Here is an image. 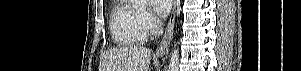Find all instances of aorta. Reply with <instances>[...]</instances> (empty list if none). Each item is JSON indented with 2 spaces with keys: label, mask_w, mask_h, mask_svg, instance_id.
<instances>
[{
  "label": "aorta",
  "mask_w": 301,
  "mask_h": 71,
  "mask_svg": "<svg viewBox=\"0 0 301 71\" xmlns=\"http://www.w3.org/2000/svg\"><path fill=\"white\" fill-rule=\"evenodd\" d=\"M131 2L134 7H143L146 5L147 0H131ZM167 71H179V49L177 44H175L171 54Z\"/></svg>",
  "instance_id": "obj_1"
}]
</instances>
